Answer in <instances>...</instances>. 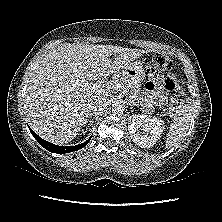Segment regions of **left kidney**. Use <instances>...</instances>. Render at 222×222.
Segmentation results:
<instances>
[{"mask_svg":"<svg viewBox=\"0 0 222 222\" xmlns=\"http://www.w3.org/2000/svg\"><path fill=\"white\" fill-rule=\"evenodd\" d=\"M128 129L133 142L141 148H150L160 139L165 122L150 115H131L128 118Z\"/></svg>","mask_w":222,"mask_h":222,"instance_id":"5707ae66","label":"left kidney"}]
</instances>
